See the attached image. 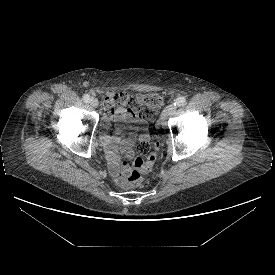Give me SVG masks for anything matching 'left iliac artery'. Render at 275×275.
Masks as SVG:
<instances>
[{
	"instance_id": "obj_1",
	"label": "left iliac artery",
	"mask_w": 275,
	"mask_h": 275,
	"mask_svg": "<svg viewBox=\"0 0 275 275\" xmlns=\"http://www.w3.org/2000/svg\"><path fill=\"white\" fill-rule=\"evenodd\" d=\"M185 103H186L185 97L179 96V97L175 100L174 106H176V107L184 106Z\"/></svg>"
}]
</instances>
